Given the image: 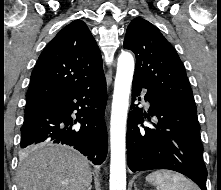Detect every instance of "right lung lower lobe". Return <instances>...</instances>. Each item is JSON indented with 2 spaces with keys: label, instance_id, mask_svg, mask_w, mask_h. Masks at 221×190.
Here are the masks:
<instances>
[{
  "label": "right lung lower lobe",
  "instance_id": "right-lung-lower-lobe-1",
  "mask_svg": "<svg viewBox=\"0 0 221 190\" xmlns=\"http://www.w3.org/2000/svg\"><path fill=\"white\" fill-rule=\"evenodd\" d=\"M106 80H96L67 91L24 113L21 148L43 141L67 144L101 164L107 155V131L104 120ZM77 111L76 119L72 118ZM77 122L79 126H75Z\"/></svg>",
  "mask_w": 221,
  "mask_h": 190
}]
</instances>
